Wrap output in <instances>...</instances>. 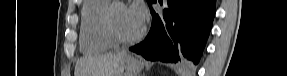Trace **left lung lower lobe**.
Listing matches in <instances>:
<instances>
[{"mask_svg": "<svg viewBox=\"0 0 287 76\" xmlns=\"http://www.w3.org/2000/svg\"><path fill=\"white\" fill-rule=\"evenodd\" d=\"M168 6L162 15L151 8L149 34L129 50L147 60L180 63L192 68L199 63L209 36L215 0H168Z\"/></svg>", "mask_w": 287, "mask_h": 76, "instance_id": "obj_1", "label": "left lung lower lobe"}]
</instances>
